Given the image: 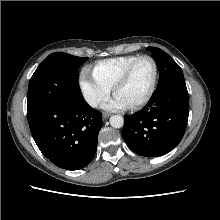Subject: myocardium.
I'll return each instance as SVG.
<instances>
[{
    "label": "myocardium",
    "mask_w": 220,
    "mask_h": 220,
    "mask_svg": "<svg viewBox=\"0 0 220 220\" xmlns=\"http://www.w3.org/2000/svg\"><path fill=\"white\" fill-rule=\"evenodd\" d=\"M143 59H148L152 62L153 66H154V77H153V82H152V85H151V88H150L148 94L139 102L129 106L130 109H134V110L139 109V108L143 107L144 105H146L155 94L157 84H158V79H159V67H158L156 60L150 55L139 56L125 69V71L117 79V81L115 82V84L113 86V92H114V94H116L117 90L128 81L135 66Z\"/></svg>",
    "instance_id": "f54148a6"
}]
</instances>
